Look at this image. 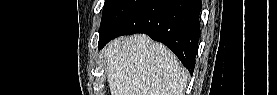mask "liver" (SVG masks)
I'll return each mask as SVG.
<instances>
[{
	"instance_id": "1",
	"label": "liver",
	"mask_w": 277,
	"mask_h": 95,
	"mask_svg": "<svg viewBox=\"0 0 277 95\" xmlns=\"http://www.w3.org/2000/svg\"><path fill=\"white\" fill-rule=\"evenodd\" d=\"M103 53L111 95H183L188 71L146 34L116 38Z\"/></svg>"
}]
</instances>
